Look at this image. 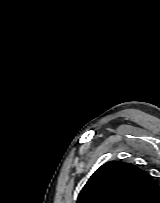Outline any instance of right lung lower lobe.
<instances>
[{
    "label": "right lung lower lobe",
    "mask_w": 160,
    "mask_h": 203,
    "mask_svg": "<svg viewBox=\"0 0 160 203\" xmlns=\"http://www.w3.org/2000/svg\"><path fill=\"white\" fill-rule=\"evenodd\" d=\"M154 203H160V189H159V196L156 198Z\"/></svg>",
    "instance_id": "1"
}]
</instances>
